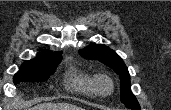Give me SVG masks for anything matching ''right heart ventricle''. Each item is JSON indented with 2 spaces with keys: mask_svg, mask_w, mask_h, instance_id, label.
<instances>
[{
  "mask_svg": "<svg viewBox=\"0 0 171 110\" xmlns=\"http://www.w3.org/2000/svg\"><path fill=\"white\" fill-rule=\"evenodd\" d=\"M93 79L88 73L70 68L66 74V86L73 92L93 96L95 94Z\"/></svg>",
  "mask_w": 171,
  "mask_h": 110,
  "instance_id": "right-heart-ventricle-1",
  "label": "right heart ventricle"
}]
</instances>
